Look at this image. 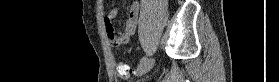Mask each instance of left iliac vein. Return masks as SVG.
I'll return each mask as SVG.
<instances>
[{"instance_id": "obj_1", "label": "left iliac vein", "mask_w": 279, "mask_h": 82, "mask_svg": "<svg viewBox=\"0 0 279 82\" xmlns=\"http://www.w3.org/2000/svg\"><path fill=\"white\" fill-rule=\"evenodd\" d=\"M155 63V59L151 58L149 60H146L145 62H142L139 64V66L136 69V75H143L151 70Z\"/></svg>"}]
</instances>
